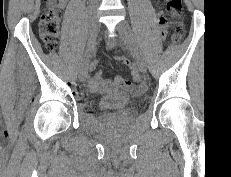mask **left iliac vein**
<instances>
[{
	"mask_svg": "<svg viewBox=\"0 0 231 177\" xmlns=\"http://www.w3.org/2000/svg\"><path fill=\"white\" fill-rule=\"evenodd\" d=\"M117 30L120 33L123 42L127 46L132 48V50L134 51L135 56L137 58L139 70L142 73H145L146 72L145 58H144V55H143L142 51L140 50V48L136 42V39L133 35V32L130 28V25L126 21H121L117 25Z\"/></svg>",
	"mask_w": 231,
	"mask_h": 177,
	"instance_id": "4c4485c4",
	"label": "left iliac vein"
}]
</instances>
